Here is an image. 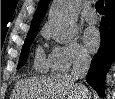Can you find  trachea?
I'll list each match as a JSON object with an SVG mask.
<instances>
[{"mask_svg": "<svg viewBox=\"0 0 115 99\" xmlns=\"http://www.w3.org/2000/svg\"><path fill=\"white\" fill-rule=\"evenodd\" d=\"M95 8L98 13L103 14L104 13V0H98L95 4Z\"/></svg>", "mask_w": 115, "mask_h": 99, "instance_id": "obj_1", "label": "trachea"}]
</instances>
